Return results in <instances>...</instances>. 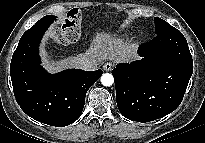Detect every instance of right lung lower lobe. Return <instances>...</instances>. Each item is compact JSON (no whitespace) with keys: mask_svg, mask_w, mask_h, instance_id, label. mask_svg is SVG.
I'll return each mask as SVG.
<instances>
[{"mask_svg":"<svg viewBox=\"0 0 205 143\" xmlns=\"http://www.w3.org/2000/svg\"><path fill=\"white\" fill-rule=\"evenodd\" d=\"M54 20L45 16L23 34L12 56L10 74L20 108L39 122L63 127L80 117L86 93L103 71L71 69L46 73L40 66L38 46Z\"/></svg>","mask_w":205,"mask_h":143,"instance_id":"obj_1","label":"right lung lower lobe"}]
</instances>
